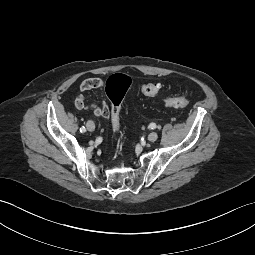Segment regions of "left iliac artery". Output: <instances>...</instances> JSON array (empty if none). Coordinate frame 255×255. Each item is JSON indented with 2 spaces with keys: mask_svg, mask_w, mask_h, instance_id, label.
Returning <instances> with one entry per match:
<instances>
[{
  "mask_svg": "<svg viewBox=\"0 0 255 255\" xmlns=\"http://www.w3.org/2000/svg\"><path fill=\"white\" fill-rule=\"evenodd\" d=\"M156 128V124L155 123H150L148 126V129H154Z\"/></svg>",
  "mask_w": 255,
  "mask_h": 255,
  "instance_id": "left-iliac-artery-1",
  "label": "left iliac artery"
}]
</instances>
